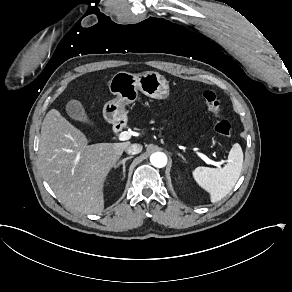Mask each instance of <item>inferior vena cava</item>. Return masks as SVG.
I'll return each mask as SVG.
<instances>
[{
	"label": "inferior vena cava",
	"mask_w": 292,
	"mask_h": 292,
	"mask_svg": "<svg viewBox=\"0 0 292 292\" xmlns=\"http://www.w3.org/2000/svg\"><path fill=\"white\" fill-rule=\"evenodd\" d=\"M142 145L141 144H131L128 147H126L125 151L128 154H138L142 151Z\"/></svg>",
	"instance_id": "1"
}]
</instances>
